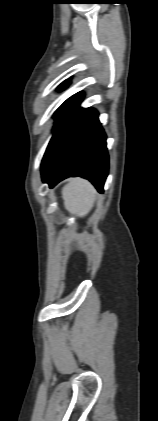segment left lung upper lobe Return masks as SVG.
Masks as SVG:
<instances>
[{
	"label": "left lung upper lobe",
	"mask_w": 158,
	"mask_h": 421,
	"mask_svg": "<svg viewBox=\"0 0 158 421\" xmlns=\"http://www.w3.org/2000/svg\"><path fill=\"white\" fill-rule=\"evenodd\" d=\"M70 84V80H66V81H64L61 85H60V87L58 88V90H63V89H65L68 85ZM73 97V96H72ZM72 97H70L69 99H67L61 106H60V108L55 112V114H57L69 101H70V99L72 98Z\"/></svg>",
	"instance_id": "left-lung-upper-lobe-1"
}]
</instances>
